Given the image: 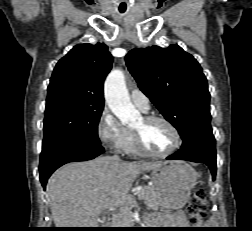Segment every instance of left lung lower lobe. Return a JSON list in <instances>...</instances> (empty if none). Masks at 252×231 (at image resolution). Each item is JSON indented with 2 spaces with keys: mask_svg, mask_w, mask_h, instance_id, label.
Returning <instances> with one entry per match:
<instances>
[{
  "mask_svg": "<svg viewBox=\"0 0 252 231\" xmlns=\"http://www.w3.org/2000/svg\"><path fill=\"white\" fill-rule=\"evenodd\" d=\"M167 159L187 160L208 165L213 179L216 175L215 138L210 132H195L183 139V144L175 154Z\"/></svg>",
  "mask_w": 252,
  "mask_h": 231,
  "instance_id": "obj_1",
  "label": "left lung lower lobe"
}]
</instances>
